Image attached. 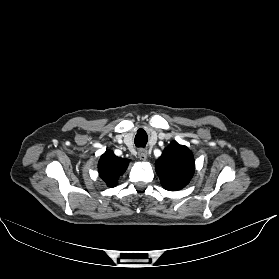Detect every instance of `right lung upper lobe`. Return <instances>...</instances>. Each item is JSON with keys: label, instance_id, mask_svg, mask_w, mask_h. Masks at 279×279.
I'll return each instance as SVG.
<instances>
[{"label": "right lung upper lobe", "instance_id": "1", "mask_svg": "<svg viewBox=\"0 0 279 279\" xmlns=\"http://www.w3.org/2000/svg\"><path fill=\"white\" fill-rule=\"evenodd\" d=\"M128 164V159L119 158L111 150H108L101 156L98 163L100 177L109 187H114L119 176L126 171Z\"/></svg>", "mask_w": 279, "mask_h": 279}]
</instances>
